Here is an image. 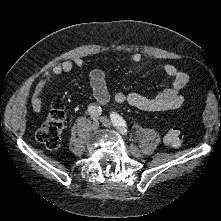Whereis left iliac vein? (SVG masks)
<instances>
[{"instance_id": "4c4485c4", "label": "left iliac vein", "mask_w": 221, "mask_h": 221, "mask_svg": "<svg viewBox=\"0 0 221 221\" xmlns=\"http://www.w3.org/2000/svg\"><path fill=\"white\" fill-rule=\"evenodd\" d=\"M101 123L105 126V127H110L111 126V122L107 117H101ZM119 131V129H117ZM120 132V131H119ZM121 133V132H120Z\"/></svg>"}]
</instances>
